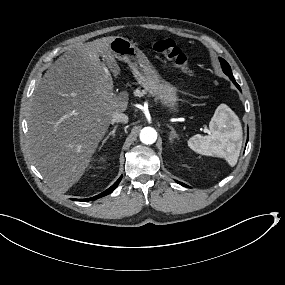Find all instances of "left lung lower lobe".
I'll list each match as a JSON object with an SVG mask.
<instances>
[{
	"instance_id": "left-lung-lower-lobe-1",
	"label": "left lung lower lobe",
	"mask_w": 285,
	"mask_h": 285,
	"mask_svg": "<svg viewBox=\"0 0 285 285\" xmlns=\"http://www.w3.org/2000/svg\"><path fill=\"white\" fill-rule=\"evenodd\" d=\"M231 80L233 81V83L237 86V88L241 91V89H240V86L235 82V79H234V77L233 78H231ZM247 141H248V139H247ZM177 183H179V184H181V185H183V186H185V187H188L187 185H185L184 183H181V182H179V181H176Z\"/></svg>"
}]
</instances>
